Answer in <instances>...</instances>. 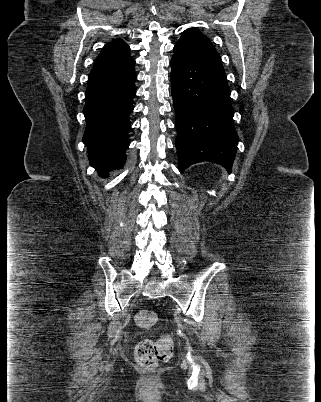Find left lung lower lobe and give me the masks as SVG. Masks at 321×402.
Returning <instances> with one entry per match:
<instances>
[{"instance_id": "obj_1", "label": "left lung lower lobe", "mask_w": 321, "mask_h": 402, "mask_svg": "<svg viewBox=\"0 0 321 402\" xmlns=\"http://www.w3.org/2000/svg\"><path fill=\"white\" fill-rule=\"evenodd\" d=\"M171 67L179 171L202 161L231 171L238 135L219 54L197 44L177 42Z\"/></svg>"}]
</instances>
